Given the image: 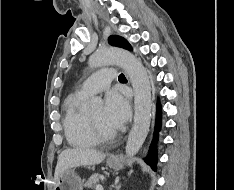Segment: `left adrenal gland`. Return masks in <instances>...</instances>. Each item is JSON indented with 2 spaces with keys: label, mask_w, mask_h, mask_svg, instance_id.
Here are the masks:
<instances>
[{
  "label": "left adrenal gland",
  "mask_w": 234,
  "mask_h": 190,
  "mask_svg": "<svg viewBox=\"0 0 234 190\" xmlns=\"http://www.w3.org/2000/svg\"><path fill=\"white\" fill-rule=\"evenodd\" d=\"M120 187H121V185H118L116 190H119V189H120Z\"/></svg>",
  "instance_id": "left-adrenal-gland-1"
}]
</instances>
